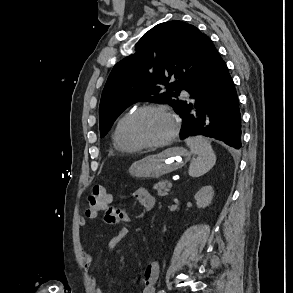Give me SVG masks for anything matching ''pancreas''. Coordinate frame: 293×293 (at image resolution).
<instances>
[{
    "label": "pancreas",
    "mask_w": 293,
    "mask_h": 293,
    "mask_svg": "<svg viewBox=\"0 0 293 293\" xmlns=\"http://www.w3.org/2000/svg\"><path fill=\"white\" fill-rule=\"evenodd\" d=\"M153 189L157 190L158 196H166L169 192L168 188V181L167 180H161L158 182V184H155Z\"/></svg>",
    "instance_id": "cf45deb5"
}]
</instances>
